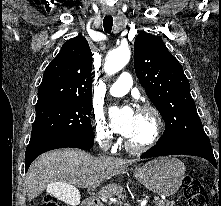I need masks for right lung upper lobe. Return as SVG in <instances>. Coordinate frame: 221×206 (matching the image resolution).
Masks as SVG:
<instances>
[{
  "label": "right lung upper lobe",
  "mask_w": 221,
  "mask_h": 206,
  "mask_svg": "<svg viewBox=\"0 0 221 206\" xmlns=\"http://www.w3.org/2000/svg\"><path fill=\"white\" fill-rule=\"evenodd\" d=\"M91 69L92 53L85 37L68 40L45 69L36 107L91 103Z\"/></svg>",
  "instance_id": "1"
}]
</instances>
